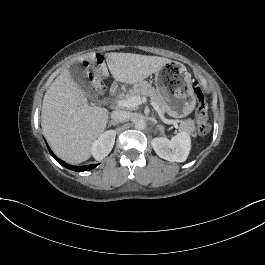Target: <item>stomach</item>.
<instances>
[{"mask_svg":"<svg viewBox=\"0 0 265 265\" xmlns=\"http://www.w3.org/2000/svg\"><path fill=\"white\" fill-rule=\"evenodd\" d=\"M156 92L166 103V112L173 118L188 116L195 108L196 97L186 67L169 62L155 72Z\"/></svg>","mask_w":265,"mask_h":265,"instance_id":"1","label":"stomach"}]
</instances>
